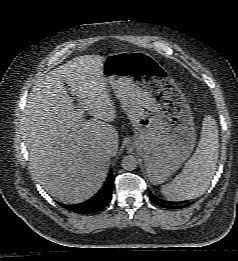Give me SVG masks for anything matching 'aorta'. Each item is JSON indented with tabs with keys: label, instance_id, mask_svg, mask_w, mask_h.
I'll return each instance as SVG.
<instances>
[{
	"label": "aorta",
	"instance_id": "obj_1",
	"mask_svg": "<svg viewBox=\"0 0 238 261\" xmlns=\"http://www.w3.org/2000/svg\"><path fill=\"white\" fill-rule=\"evenodd\" d=\"M122 167L127 171H132L137 168L138 162L133 155H126L121 162Z\"/></svg>",
	"mask_w": 238,
	"mask_h": 261
}]
</instances>
